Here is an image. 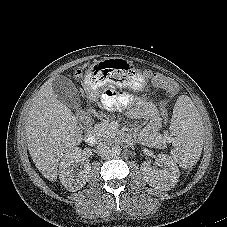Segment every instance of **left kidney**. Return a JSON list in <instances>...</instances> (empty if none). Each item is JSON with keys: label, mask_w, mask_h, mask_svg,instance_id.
Returning a JSON list of instances; mask_svg holds the SVG:
<instances>
[{"label": "left kidney", "mask_w": 227, "mask_h": 227, "mask_svg": "<svg viewBox=\"0 0 227 227\" xmlns=\"http://www.w3.org/2000/svg\"><path fill=\"white\" fill-rule=\"evenodd\" d=\"M162 169H152L148 165L141 167L144 179L155 189L168 191L175 186L180 176L179 169L172 157L159 154L157 156Z\"/></svg>", "instance_id": "left-kidney-1"}]
</instances>
